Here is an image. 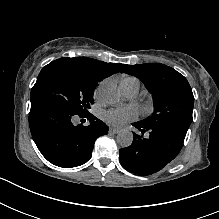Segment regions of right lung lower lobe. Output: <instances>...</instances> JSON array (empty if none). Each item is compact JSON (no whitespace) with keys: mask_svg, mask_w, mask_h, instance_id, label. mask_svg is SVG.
Masks as SVG:
<instances>
[{"mask_svg":"<svg viewBox=\"0 0 219 219\" xmlns=\"http://www.w3.org/2000/svg\"><path fill=\"white\" fill-rule=\"evenodd\" d=\"M78 118H87L90 124L74 125ZM29 126L41 154L50 163L63 168L86 163L95 140L108 133V126L92 114L74 115L48 102L31 103Z\"/></svg>","mask_w":219,"mask_h":219,"instance_id":"1","label":"right lung lower lobe"}]
</instances>
